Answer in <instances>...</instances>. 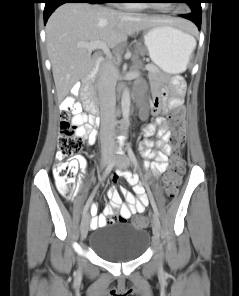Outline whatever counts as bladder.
<instances>
[{
    "label": "bladder",
    "mask_w": 239,
    "mask_h": 296,
    "mask_svg": "<svg viewBox=\"0 0 239 296\" xmlns=\"http://www.w3.org/2000/svg\"><path fill=\"white\" fill-rule=\"evenodd\" d=\"M150 242V235L145 229L128 223H116L96 231L90 246L97 255L107 261L127 262L141 257Z\"/></svg>",
    "instance_id": "1"
}]
</instances>
